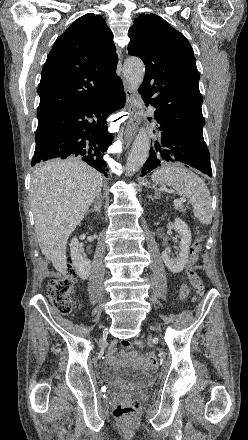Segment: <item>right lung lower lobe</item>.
Returning a JSON list of instances; mask_svg holds the SVG:
<instances>
[{
  "label": "right lung lower lobe",
  "instance_id": "98d812e1",
  "mask_svg": "<svg viewBox=\"0 0 248 440\" xmlns=\"http://www.w3.org/2000/svg\"><path fill=\"white\" fill-rule=\"evenodd\" d=\"M124 104V87L117 79L103 96L73 103L38 119L31 165L52 158L77 157L106 175L103 156L113 140L106 118Z\"/></svg>",
  "mask_w": 248,
  "mask_h": 440
}]
</instances>
